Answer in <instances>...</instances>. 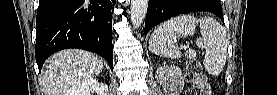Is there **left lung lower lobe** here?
Masks as SVG:
<instances>
[{"instance_id": "obj_1", "label": "left lung lower lobe", "mask_w": 277, "mask_h": 95, "mask_svg": "<svg viewBox=\"0 0 277 95\" xmlns=\"http://www.w3.org/2000/svg\"><path fill=\"white\" fill-rule=\"evenodd\" d=\"M214 0H149L145 35L159 23L183 13L195 11H209L223 19L222 7L220 5H209Z\"/></svg>"}]
</instances>
